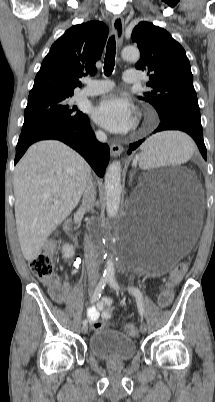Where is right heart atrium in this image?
Instances as JSON below:
<instances>
[{"label":"right heart atrium","instance_id":"right-heart-atrium-1","mask_svg":"<svg viewBox=\"0 0 215 402\" xmlns=\"http://www.w3.org/2000/svg\"><path fill=\"white\" fill-rule=\"evenodd\" d=\"M98 135H99V136H103L102 132H98Z\"/></svg>","mask_w":215,"mask_h":402}]
</instances>
